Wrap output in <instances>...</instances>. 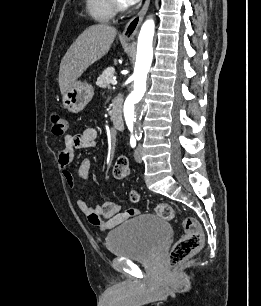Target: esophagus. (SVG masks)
<instances>
[{"label": "esophagus", "instance_id": "34e87169", "mask_svg": "<svg viewBox=\"0 0 261 306\" xmlns=\"http://www.w3.org/2000/svg\"><path fill=\"white\" fill-rule=\"evenodd\" d=\"M150 4V0H145L141 10L129 20L126 24L123 33L121 34V38L125 40H132L134 39L140 24L143 21V18L148 10Z\"/></svg>", "mask_w": 261, "mask_h": 306}]
</instances>
